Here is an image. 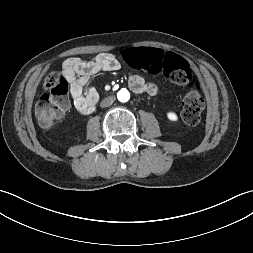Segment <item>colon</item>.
Returning <instances> with one entry per match:
<instances>
[{"label":"colon","mask_w":253,"mask_h":253,"mask_svg":"<svg viewBox=\"0 0 253 253\" xmlns=\"http://www.w3.org/2000/svg\"><path fill=\"white\" fill-rule=\"evenodd\" d=\"M122 65L128 71H137L145 76H166L173 83L187 87L182 102V120L189 126L200 122L204 99L198 82L193 78L192 68L183 57L162 47H131L123 54ZM44 89L36 103L35 114L41 126L50 127L68 108L69 83L65 76L50 73L45 78Z\"/></svg>","instance_id":"5ec220e1"}]
</instances>
